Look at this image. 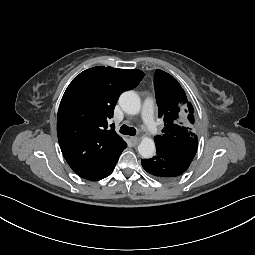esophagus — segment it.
Returning a JSON list of instances; mask_svg holds the SVG:
<instances>
[{
    "mask_svg": "<svg viewBox=\"0 0 255 255\" xmlns=\"http://www.w3.org/2000/svg\"><path fill=\"white\" fill-rule=\"evenodd\" d=\"M130 141L133 145H137L139 142V138L138 137H130Z\"/></svg>",
    "mask_w": 255,
    "mask_h": 255,
    "instance_id": "esophagus-1",
    "label": "esophagus"
}]
</instances>
